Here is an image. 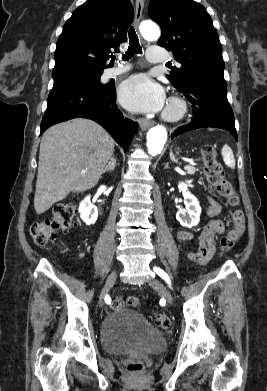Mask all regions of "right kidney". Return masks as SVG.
I'll use <instances>...</instances> for the list:
<instances>
[{
    "label": "right kidney",
    "instance_id": "ca27d5eb",
    "mask_svg": "<svg viewBox=\"0 0 267 391\" xmlns=\"http://www.w3.org/2000/svg\"><path fill=\"white\" fill-rule=\"evenodd\" d=\"M79 212L81 219L87 224H94L98 218L97 207L91 203L90 195L85 197V199L79 205Z\"/></svg>",
    "mask_w": 267,
    "mask_h": 391
}]
</instances>
